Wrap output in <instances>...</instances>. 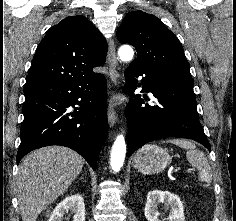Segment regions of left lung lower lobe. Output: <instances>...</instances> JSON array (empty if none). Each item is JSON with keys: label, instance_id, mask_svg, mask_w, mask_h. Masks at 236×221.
Masks as SVG:
<instances>
[{"label": "left lung lower lobe", "instance_id": "1", "mask_svg": "<svg viewBox=\"0 0 236 221\" xmlns=\"http://www.w3.org/2000/svg\"><path fill=\"white\" fill-rule=\"evenodd\" d=\"M144 76L137 85L136 77ZM125 94L133 98L125 113L129 125L128 156L144 144L158 138L179 137L193 139L210 151V144L199 122L193 85L166 78L143 67L125 70ZM151 92L156 105L144 103L137 86Z\"/></svg>", "mask_w": 236, "mask_h": 221}]
</instances>
